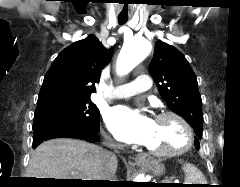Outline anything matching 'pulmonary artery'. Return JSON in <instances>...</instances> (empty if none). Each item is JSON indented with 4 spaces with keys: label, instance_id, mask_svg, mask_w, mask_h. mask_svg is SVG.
Returning <instances> with one entry per match:
<instances>
[{
    "label": "pulmonary artery",
    "instance_id": "obj_1",
    "mask_svg": "<svg viewBox=\"0 0 240 187\" xmlns=\"http://www.w3.org/2000/svg\"><path fill=\"white\" fill-rule=\"evenodd\" d=\"M151 86L150 77L147 74H140L130 83L118 86L111 92L114 99H124L139 95L149 90Z\"/></svg>",
    "mask_w": 240,
    "mask_h": 187
}]
</instances>
